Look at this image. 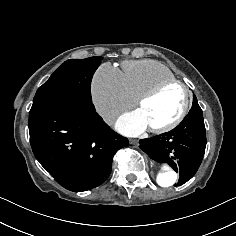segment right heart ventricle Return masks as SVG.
<instances>
[{
  "mask_svg": "<svg viewBox=\"0 0 236 236\" xmlns=\"http://www.w3.org/2000/svg\"><path fill=\"white\" fill-rule=\"evenodd\" d=\"M128 92L138 99L157 83L175 79L174 72L165 64L155 60H127L122 64Z\"/></svg>",
  "mask_w": 236,
  "mask_h": 236,
  "instance_id": "e07e8e85",
  "label": "right heart ventricle"
}]
</instances>
